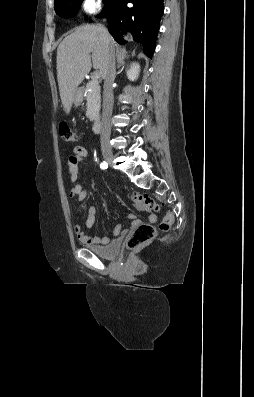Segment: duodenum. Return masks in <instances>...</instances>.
<instances>
[{"label": "duodenum", "mask_w": 254, "mask_h": 397, "mask_svg": "<svg viewBox=\"0 0 254 397\" xmlns=\"http://www.w3.org/2000/svg\"><path fill=\"white\" fill-rule=\"evenodd\" d=\"M92 130H93L94 133H99L100 132V130H101V120H100V118L94 119L93 124H92Z\"/></svg>", "instance_id": "obj_1"}]
</instances>
